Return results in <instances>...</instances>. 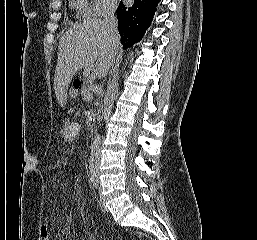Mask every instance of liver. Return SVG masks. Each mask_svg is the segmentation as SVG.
<instances>
[{
  "instance_id": "1",
  "label": "liver",
  "mask_w": 257,
  "mask_h": 240,
  "mask_svg": "<svg viewBox=\"0 0 257 240\" xmlns=\"http://www.w3.org/2000/svg\"><path fill=\"white\" fill-rule=\"evenodd\" d=\"M121 44H114L104 29V21L90 19L74 25L60 38L55 69L54 90L58 102L64 106L67 89L80 69L94 76L105 77L113 66Z\"/></svg>"
}]
</instances>
